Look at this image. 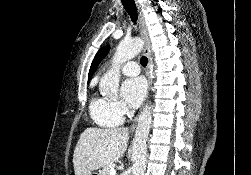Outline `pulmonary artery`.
Wrapping results in <instances>:
<instances>
[{
  "instance_id": "pulmonary-artery-1",
  "label": "pulmonary artery",
  "mask_w": 251,
  "mask_h": 175,
  "mask_svg": "<svg viewBox=\"0 0 251 175\" xmlns=\"http://www.w3.org/2000/svg\"><path fill=\"white\" fill-rule=\"evenodd\" d=\"M121 72L127 75H136L140 73V67L136 61H132L121 67Z\"/></svg>"
}]
</instances>
